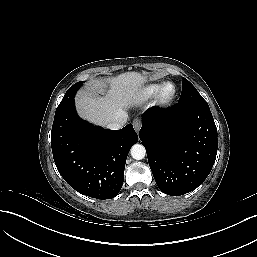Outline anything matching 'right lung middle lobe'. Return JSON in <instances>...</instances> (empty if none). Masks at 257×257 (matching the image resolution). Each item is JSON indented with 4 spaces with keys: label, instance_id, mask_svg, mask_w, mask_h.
I'll return each mask as SVG.
<instances>
[{
    "label": "right lung middle lobe",
    "instance_id": "dd1d6c3e",
    "mask_svg": "<svg viewBox=\"0 0 257 257\" xmlns=\"http://www.w3.org/2000/svg\"><path fill=\"white\" fill-rule=\"evenodd\" d=\"M82 83L83 82H77L68 89L61 103L58 105L56 112L64 109L65 107L69 106L74 102L75 93L77 92L78 88L82 85Z\"/></svg>",
    "mask_w": 257,
    "mask_h": 257
}]
</instances>
